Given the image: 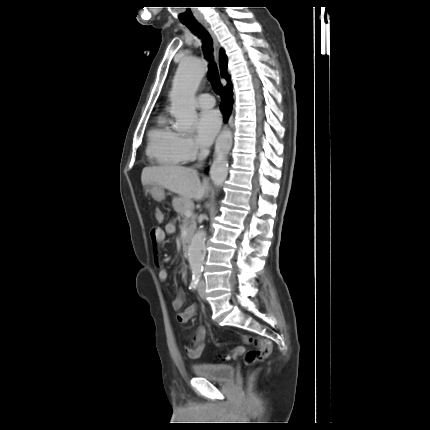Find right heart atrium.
<instances>
[{
	"instance_id": "1",
	"label": "right heart atrium",
	"mask_w": 430,
	"mask_h": 430,
	"mask_svg": "<svg viewBox=\"0 0 430 430\" xmlns=\"http://www.w3.org/2000/svg\"><path fill=\"white\" fill-rule=\"evenodd\" d=\"M178 146L185 160H192L203 152V149L190 136L180 135Z\"/></svg>"
}]
</instances>
